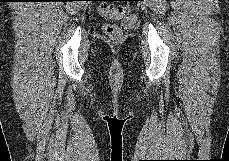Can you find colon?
<instances>
[{"label": "colon", "mask_w": 229, "mask_h": 161, "mask_svg": "<svg viewBox=\"0 0 229 161\" xmlns=\"http://www.w3.org/2000/svg\"><path fill=\"white\" fill-rule=\"evenodd\" d=\"M99 13L105 18H119L123 17L128 13V9L124 5H115L109 3H103L99 6ZM103 31L114 40L121 37V29L112 23H105L103 25Z\"/></svg>", "instance_id": "obj_1"}]
</instances>
